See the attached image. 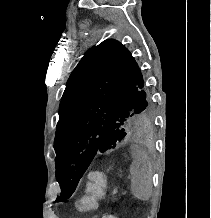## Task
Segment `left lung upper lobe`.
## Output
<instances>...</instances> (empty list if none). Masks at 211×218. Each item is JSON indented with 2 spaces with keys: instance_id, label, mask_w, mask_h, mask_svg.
Returning <instances> with one entry per match:
<instances>
[{
  "instance_id": "obj_1",
  "label": "left lung upper lobe",
  "mask_w": 211,
  "mask_h": 218,
  "mask_svg": "<svg viewBox=\"0 0 211 218\" xmlns=\"http://www.w3.org/2000/svg\"><path fill=\"white\" fill-rule=\"evenodd\" d=\"M152 117L146 79L124 45L110 39L89 49L60 103L54 148L61 194L56 201L71 196L97 153L139 133Z\"/></svg>"
}]
</instances>
